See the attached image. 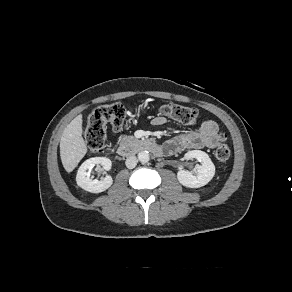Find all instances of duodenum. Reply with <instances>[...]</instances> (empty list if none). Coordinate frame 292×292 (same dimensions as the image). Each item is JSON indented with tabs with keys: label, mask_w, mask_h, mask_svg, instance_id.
I'll return each mask as SVG.
<instances>
[{
	"label": "duodenum",
	"mask_w": 292,
	"mask_h": 292,
	"mask_svg": "<svg viewBox=\"0 0 292 292\" xmlns=\"http://www.w3.org/2000/svg\"><path fill=\"white\" fill-rule=\"evenodd\" d=\"M148 150L159 154V147L150 139L124 138L118 147L121 157H128L136 152Z\"/></svg>",
	"instance_id": "obj_1"
}]
</instances>
